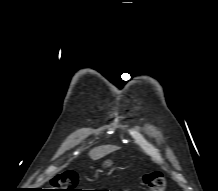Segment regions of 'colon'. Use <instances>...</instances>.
I'll use <instances>...</instances> for the list:
<instances>
[{"instance_id":"obj_1","label":"colon","mask_w":218,"mask_h":191,"mask_svg":"<svg viewBox=\"0 0 218 191\" xmlns=\"http://www.w3.org/2000/svg\"><path fill=\"white\" fill-rule=\"evenodd\" d=\"M53 183L58 187V191H80L77 189L78 176L76 173L67 171L57 175ZM145 191H165L166 180L160 172H149L143 177Z\"/></svg>"}]
</instances>
